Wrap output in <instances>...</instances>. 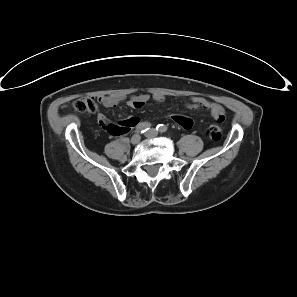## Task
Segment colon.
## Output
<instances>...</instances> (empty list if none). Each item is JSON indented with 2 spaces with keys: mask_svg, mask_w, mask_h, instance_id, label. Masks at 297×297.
<instances>
[{
  "mask_svg": "<svg viewBox=\"0 0 297 297\" xmlns=\"http://www.w3.org/2000/svg\"><path fill=\"white\" fill-rule=\"evenodd\" d=\"M73 108L81 113L94 114L99 110L98 101L94 98L77 99L72 103ZM222 122L221 120L217 121ZM205 135L212 141H218L221 138L222 132L219 125H211L205 130Z\"/></svg>",
  "mask_w": 297,
  "mask_h": 297,
  "instance_id": "colon-1",
  "label": "colon"
}]
</instances>
